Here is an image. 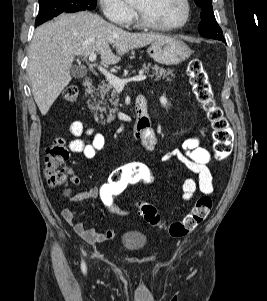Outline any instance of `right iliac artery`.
<instances>
[{"mask_svg": "<svg viewBox=\"0 0 267 301\" xmlns=\"http://www.w3.org/2000/svg\"><path fill=\"white\" fill-rule=\"evenodd\" d=\"M81 269H82L83 273L85 274L86 273V265H85L84 261H82V263H81Z\"/></svg>", "mask_w": 267, "mask_h": 301, "instance_id": "82829eb1", "label": "right iliac artery"}]
</instances>
